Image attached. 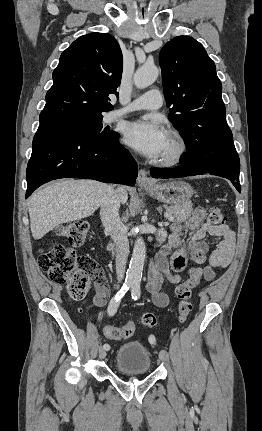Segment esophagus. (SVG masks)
Returning a JSON list of instances; mask_svg holds the SVG:
<instances>
[{
  "label": "esophagus",
  "instance_id": "obj_1",
  "mask_svg": "<svg viewBox=\"0 0 262 431\" xmlns=\"http://www.w3.org/2000/svg\"><path fill=\"white\" fill-rule=\"evenodd\" d=\"M137 183L139 186H151L154 183L148 177V173L145 169H140L137 177Z\"/></svg>",
  "mask_w": 262,
  "mask_h": 431
}]
</instances>
